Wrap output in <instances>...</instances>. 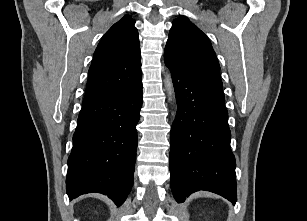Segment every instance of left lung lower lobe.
Returning <instances> with one entry per match:
<instances>
[{"instance_id":"left-lung-lower-lobe-1","label":"left lung lower lobe","mask_w":307,"mask_h":221,"mask_svg":"<svg viewBox=\"0 0 307 221\" xmlns=\"http://www.w3.org/2000/svg\"><path fill=\"white\" fill-rule=\"evenodd\" d=\"M177 114L171 128L170 184L178 203L206 190L237 201L235 157L223 96L197 83L171 60Z\"/></svg>"}]
</instances>
